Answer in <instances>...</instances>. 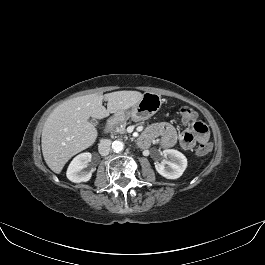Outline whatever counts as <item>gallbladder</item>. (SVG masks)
Returning <instances> with one entry per match:
<instances>
[{
    "instance_id": "1",
    "label": "gallbladder",
    "mask_w": 265,
    "mask_h": 265,
    "mask_svg": "<svg viewBox=\"0 0 265 265\" xmlns=\"http://www.w3.org/2000/svg\"><path fill=\"white\" fill-rule=\"evenodd\" d=\"M89 122L91 123V124H93L94 126H96L97 125V120L96 119H94V118H90L89 119Z\"/></svg>"
}]
</instances>
